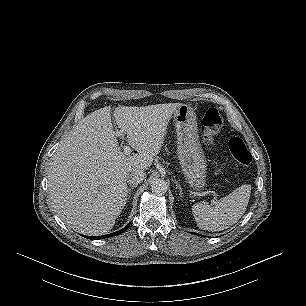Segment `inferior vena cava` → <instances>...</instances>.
Wrapping results in <instances>:
<instances>
[{"label": "inferior vena cava", "instance_id": "obj_1", "mask_svg": "<svg viewBox=\"0 0 306 306\" xmlns=\"http://www.w3.org/2000/svg\"><path fill=\"white\" fill-rule=\"evenodd\" d=\"M145 172L143 170H135V171H132L131 173L128 174L127 176V182L130 184V185H138L140 184L144 179H145Z\"/></svg>", "mask_w": 306, "mask_h": 306}]
</instances>
